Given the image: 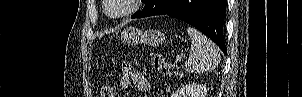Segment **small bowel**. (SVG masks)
Returning a JSON list of instances; mask_svg holds the SVG:
<instances>
[{
	"mask_svg": "<svg viewBox=\"0 0 302 97\" xmlns=\"http://www.w3.org/2000/svg\"><path fill=\"white\" fill-rule=\"evenodd\" d=\"M120 83L125 89L133 84L141 92H146L150 88L148 79L128 63L122 64Z\"/></svg>",
	"mask_w": 302,
	"mask_h": 97,
	"instance_id": "obj_1",
	"label": "small bowel"
}]
</instances>
